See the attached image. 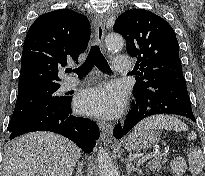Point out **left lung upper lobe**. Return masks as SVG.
I'll use <instances>...</instances> for the list:
<instances>
[{"mask_svg":"<svg viewBox=\"0 0 205 176\" xmlns=\"http://www.w3.org/2000/svg\"><path fill=\"white\" fill-rule=\"evenodd\" d=\"M113 30L125 38L128 54L137 58L141 72L133 93L148 89L161 78L183 77L178 41L164 19L147 10H128L116 19Z\"/></svg>","mask_w":205,"mask_h":176,"instance_id":"1","label":"left lung upper lobe"}]
</instances>
